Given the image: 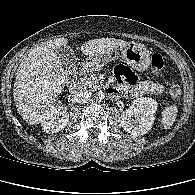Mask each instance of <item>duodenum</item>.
Segmentation results:
<instances>
[{"label": "duodenum", "instance_id": "1", "mask_svg": "<svg viewBox=\"0 0 195 195\" xmlns=\"http://www.w3.org/2000/svg\"><path fill=\"white\" fill-rule=\"evenodd\" d=\"M87 69L91 70V69H93V66L88 65ZM81 89H82V86H81L80 82H74L70 86V91H71L72 94H78L81 91ZM107 92L112 93L110 88L107 89Z\"/></svg>", "mask_w": 195, "mask_h": 195}]
</instances>
